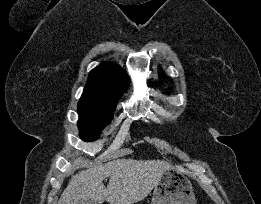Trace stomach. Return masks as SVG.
Wrapping results in <instances>:
<instances>
[{"label":"stomach","mask_w":261,"mask_h":204,"mask_svg":"<svg viewBox=\"0 0 261 204\" xmlns=\"http://www.w3.org/2000/svg\"><path fill=\"white\" fill-rule=\"evenodd\" d=\"M151 204H196L190 180L173 168L164 171L154 187Z\"/></svg>","instance_id":"1"}]
</instances>
